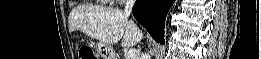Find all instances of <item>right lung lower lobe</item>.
Returning a JSON list of instances; mask_svg holds the SVG:
<instances>
[{
  "instance_id": "98d812e1",
  "label": "right lung lower lobe",
  "mask_w": 261,
  "mask_h": 59,
  "mask_svg": "<svg viewBox=\"0 0 261 59\" xmlns=\"http://www.w3.org/2000/svg\"><path fill=\"white\" fill-rule=\"evenodd\" d=\"M175 0H136L135 19L145 27L155 41L164 44V26L167 12Z\"/></svg>"
}]
</instances>
